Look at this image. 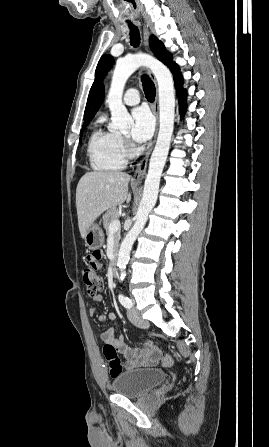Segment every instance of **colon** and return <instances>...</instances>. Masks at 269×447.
<instances>
[{
    "mask_svg": "<svg viewBox=\"0 0 269 447\" xmlns=\"http://www.w3.org/2000/svg\"><path fill=\"white\" fill-rule=\"evenodd\" d=\"M103 253L100 250H93L87 255L88 262L82 268V279L86 286V295L88 297H95L97 292L103 287V279L97 271L103 270V263L101 262ZM129 352L128 354H131ZM103 355L108 361V374L112 378H118L122 375L124 368L122 361L118 355L117 350L109 344L103 347ZM154 362L163 367H168L173 364V359L169 355H160L155 358ZM181 385L185 384L184 380L180 381Z\"/></svg>",
    "mask_w": 269,
    "mask_h": 447,
    "instance_id": "obj_1",
    "label": "colon"
}]
</instances>
